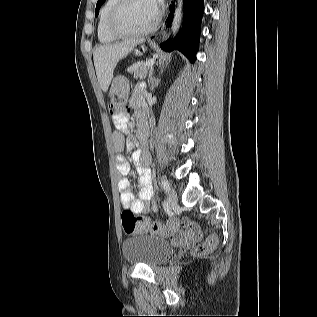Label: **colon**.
Returning a JSON list of instances; mask_svg holds the SVG:
<instances>
[{"instance_id":"obj_1","label":"colon","mask_w":317,"mask_h":317,"mask_svg":"<svg viewBox=\"0 0 317 317\" xmlns=\"http://www.w3.org/2000/svg\"><path fill=\"white\" fill-rule=\"evenodd\" d=\"M128 94L129 86L127 79L122 75L115 76L109 89L110 110L113 116L125 114ZM121 222L127 234L150 231L162 236H171L180 225H190L186 221L176 219L170 220L167 223H151L143 217L136 216L131 210H124L122 212ZM217 244L218 238L215 234H212L196 246L195 253L198 255L208 254L216 248Z\"/></svg>"}]
</instances>
